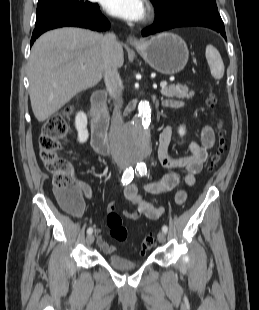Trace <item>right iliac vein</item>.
<instances>
[{"label":"right iliac vein","instance_id":"63e3f726","mask_svg":"<svg viewBox=\"0 0 259 310\" xmlns=\"http://www.w3.org/2000/svg\"><path fill=\"white\" fill-rule=\"evenodd\" d=\"M94 242V235L93 234H89L86 238V243L87 245H91Z\"/></svg>","mask_w":259,"mask_h":310}]
</instances>
